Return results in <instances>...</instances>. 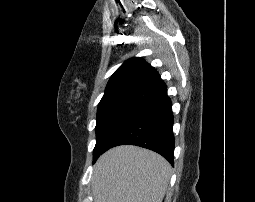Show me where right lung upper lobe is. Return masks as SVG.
Listing matches in <instances>:
<instances>
[{"instance_id":"cb5924a9","label":"right lung upper lobe","mask_w":255,"mask_h":202,"mask_svg":"<svg viewBox=\"0 0 255 202\" xmlns=\"http://www.w3.org/2000/svg\"><path fill=\"white\" fill-rule=\"evenodd\" d=\"M167 96V87L157 71L141 57L125 61L111 76L97 115L116 112H138Z\"/></svg>"}]
</instances>
